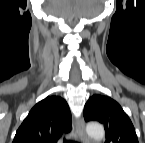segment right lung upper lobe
Returning <instances> with one entry per match:
<instances>
[{"label":"right lung upper lobe","mask_w":145,"mask_h":143,"mask_svg":"<svg viewBox=\"0 0 145 143\" xmlns=\"http://www.w3.org/2000/svg\"><path fill=\"white\" fill-rule=\"evenodd\" d=\"M71 130V113L64 99L48 96L37 103L18 128L13 143H56Z\"/></svg>","instance_id":"1"}]
</instances>
